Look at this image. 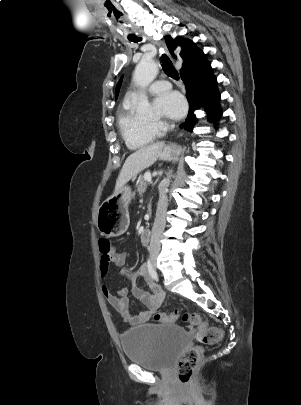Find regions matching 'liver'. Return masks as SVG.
<instances>
[{
	"mask_svg": "<svg viewBox=\"0 0 301 405\" xmlns=\"http://www.w3.org/2000/svg\"><path fill=\"white\" fill-rule=\"evenodd\" d=\"M180 152V146L166 145L164 142H157L135 151L128 156L120 171L115 192L120 190L129 180L135 178L141 171L152 166L158 159L174 161Z\"/></svg>",
	"mask_w": 301,
	"mask_h": 405,
	"instance_id": "6515ba94",
	"label": "liver"
}]
</instances>
